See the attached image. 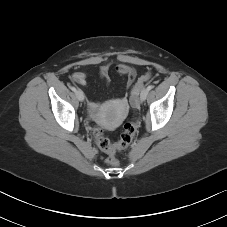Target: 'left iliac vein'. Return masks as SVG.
Returning a JSON list of instances; mask_svg holds the SVG:
<instances>
[{
  "instance_id": "4c4485c4",
  "label": "left iliac vein",
  "mask_w": 227,
  "mask_h": 227,
  "mask_svg": "<svg viewBox=\"0 0 227 227\" xmlns=\"http://www.w3.org/2000/svg\"><path fill=\"white\" fill-rule=\"evenodd\" d=\"M149 93V90L147 88H144L140 93V101L143 102L146 100L147 95Z\"/></svg>"
}]
</instances>
